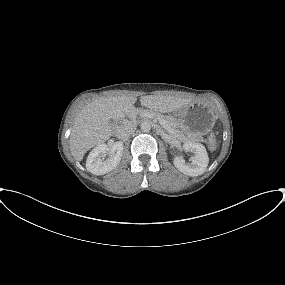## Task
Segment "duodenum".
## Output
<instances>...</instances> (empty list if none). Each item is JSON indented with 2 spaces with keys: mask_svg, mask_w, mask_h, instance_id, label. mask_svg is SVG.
<instances>
[{
  "mask_svg": "<svg viewBox=\"0 0 285 285\" xmlns=\"http://www.w3.org/2000/svg\"><path fill=\"white\" fill-rule=\"evenodd\" d=\"M125 123V118L124 117H120L118 119V124H117V134L120 135L122 129H123V125Z\"/></svg>",
  "mask_w": 285,
  "mask_h": 285,
  "instance_id": "duodenum-1",
  "label": "duodenum"
}]
</instances>
